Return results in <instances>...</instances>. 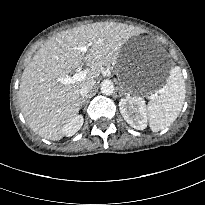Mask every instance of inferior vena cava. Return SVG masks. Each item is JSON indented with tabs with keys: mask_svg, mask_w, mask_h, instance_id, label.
Wrapping results in <instances>:
<instances>
[{
	"mask_svg": "<svg viewBox=\"0 0 205 205\" xmlns=\"http://www.w3.org/2000/svg\"><path fill=\"white\" fill-rule=\"evenodd\" d=\"M94 85H95V81H93V80L83 83V85L79 89V93H80L81 97L82 98L86 97L88 95V93L93 90Z\"/></svg>",
	"mask_w": 205,
	"mask_h": 205,
	"instance_id": "obj_1",
	"label": "inferior vena cava"
}]
</instances>
